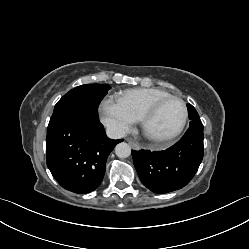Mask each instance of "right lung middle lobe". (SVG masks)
Segmentation results:
<instances>
[{
  "label": "right lung middle lobe",
  "mask_w": 249,
  "mask_h": 249,
  "mask_svg": "<svg viewBox=\"0 0 249 249\" xmlns=\"http://www.w3.org/2000/svg\"><path fill=\"white\" fill-rule=\"evenodd\" d=\"M109 89L107 84H87L70 90L55 105L48 129L75 117H98V105Z\"/></svg>",
  "instance_id": "1"
}]
</instances>
